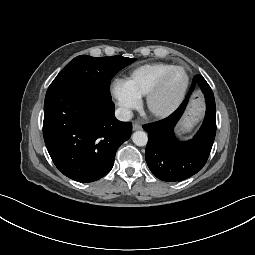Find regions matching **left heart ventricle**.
Wrapping results in <instances>:
<instances>
[{
    "label": "left heart ventricle",
    "instance_id": "obj_1",
    "mask_svg": "<svg viewBox=\"0 0 255 255\" xmlns=\"http://www.w3.org/2000/svg\"><path fill=\"white\" fill-rule=\"evenodd\" d=\"M185 79V73L182 70H176L173 72L163 91L157 97L155 102L156 106L158 108H166L169 106L183 88Z\"/></svg>",
    "mask_w": 255,
    "mask_h": 255
}]
</instances>
